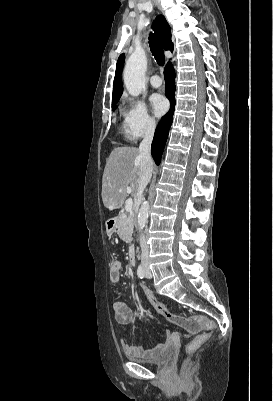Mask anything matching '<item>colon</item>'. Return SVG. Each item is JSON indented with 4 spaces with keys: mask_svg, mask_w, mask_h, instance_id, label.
<instances>
[{
    "mask_svg": "<svg viewBox=\"0 0 273 401\" xmlns=\"http://www.w3.org/2000/svg\"><path fill=\"white\" fill-rule=\"evenodd\" d=\"M151 288L147 283H142L140 288L138 289L139 296L143 298L150 307L154 308L156 313H159L160 316H166L169 321H173L174 324H177L179 328H183L185 333L193 334L199 333L197 337H192L188 344H185L184 351L185 356L187 358H192L194 353H201L202 346L204 342H207L209 339V334L215 330L217 325L216 320L214 319H203L201 315L193 314V319H187L185 315H181L180 312H172L171 307L167 304H162V301L159 297H156L155 294L151 292ZM199 318V319H196ZM208 328V332L204 333ZM179 372L182 375L184 380H188L190 375L186 372H189V369H186V365H183L179 369Z\"/></svg>",
    "mask_w": 273,
    "mask_h": 401,
    "instance_id": "colon-1",
    "label": "colon"
}]
</instances>
